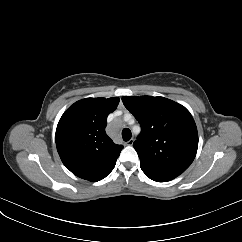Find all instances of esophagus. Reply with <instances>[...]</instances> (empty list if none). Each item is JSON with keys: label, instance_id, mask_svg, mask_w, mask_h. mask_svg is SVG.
I'll list each match as a JSON object with an SVG mask.
<instances>
[{"label": "esophagus", "instance_id": "esophagus-1", "mask_svg": "<svg viewBox=\"0 0 242 242\" xmlns=\"http://www.w3.org/2000/svg\"><path fill=\"white\" fill-rule=\"evenodd\" d=\"M133 142H134V140L133 139H130L129 141H127L125 143V145L131 146V145H133Z\"/></svg>", "mask_w": 242, "mask_h": 242}]
</instances>
